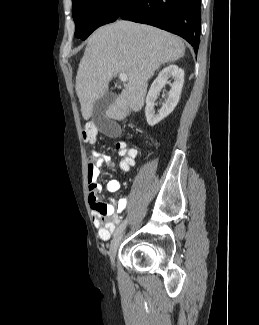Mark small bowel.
I'll return each mask as SVG.
<instances>
[{
	"instance_id": "c3829d8e",
	"label": "small bowel",
	"mask_w": 259,
	"mask_h": 325,
	"mask_svg": "<svg viewBox=\"0 0 259 325\" xmlns=\"http://www.w3.org/2000/svg\"><path fill=\"white\" fill-rule=\"evenodd\" d=\"M137 149L131 147V153L126 155L118 166L122 171H128L135 163ZM115 168L117 164L107 155L94 152L88 160L87 181L89 190V203L93 210V222L97 229L98 236L102 241H108L121 221L120 213L126 208L127 198L122 196L118 199H111L108 203L99 200L101 185L98 178L102 167ZM109 192H117L120 189V182L117 179H110L106 184Z\"/></svg>"
}]
</instances>
